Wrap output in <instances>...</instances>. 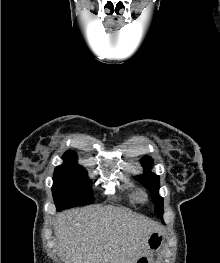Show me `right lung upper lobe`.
I'll use <instances>...</instances> for the list:
<instances>
[{
  "label": "right lung upper lobe",
  "mask_w": 220,
  "mask_h": 263,
  "mask_svg": "<svg viewBox=\"0 0 220 263\" xmlns=\"http://www.w3.org/2000/svg\"><path fill=\"white\" fill-rule=\"evenodd\" d=\"M65 155H76V154L74 152H72V151H68V152L65 153Z\"/></svg>",
  "instance_id": "obj_1"
}]
</instances>
